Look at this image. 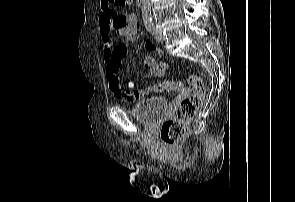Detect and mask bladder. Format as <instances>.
I'll return each instance as SVG.
<instances>
[{
  "instance_id": "obj_1",
  "label": "bladder",
  "mask_w": 295,
  "mask_h": 202,
  "mask_svg": "<svg viewBox=\"0 0 295 202\" xmlns=\"http://www.w3.org/2000/svg\"><path fill=\"white\" fill-rule=\"evenodd\" d=\"M168 104L165 98L154 96L139 101L131 110L133 118L145 125L158 122L167 112Z\"/></svg>"
}]
</instances>
